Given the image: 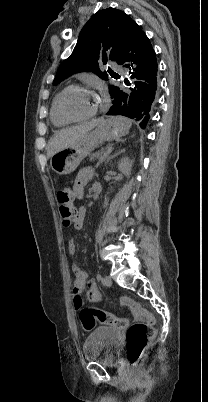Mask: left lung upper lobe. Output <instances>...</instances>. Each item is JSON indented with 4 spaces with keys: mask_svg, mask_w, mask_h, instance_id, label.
Here are the masks:
<instances>
[{
    "mask_svg": "<svg viewBox=\"0 0 208 402\" xmlns=\"http://www.w3.org/2000/svg\"><path fill=\"white\" fill-rule=\"evenodd\" d=\"M134 21L124 12L107 8L98 11L82 28L77 44L69 58L57 71L53 85L80 71H92L107 80L100 66L119 57ZM110 94L114 86H110Z\"/></svg>",
    "mask_w": 208,
    "mask_h": 402,
    "instance_id": "5c2ea615",
    "label": "left lung upper lobe"
}]
</instances>
